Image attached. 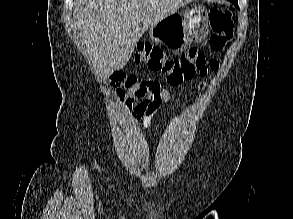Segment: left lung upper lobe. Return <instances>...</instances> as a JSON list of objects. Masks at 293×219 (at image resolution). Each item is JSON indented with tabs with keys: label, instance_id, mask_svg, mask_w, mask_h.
I'll return each instance as SVG.
<instances>
[{
	"label": "left lung upper lobe",
	"instance_id": "5c2ea615",
	"mask_svg": "<svg viewBox=\"0 0 293 219\" xmlns=\"http://www.w3.org/2000/svg\"><path fill=\"white\" fill-rule=\"evenodd\" d=\"M231 3H233L235 6L238 5L237 0H229Z\"/></svg>",
	"mask_w": 293,
	"mask_h": 219
}]
</instances>
